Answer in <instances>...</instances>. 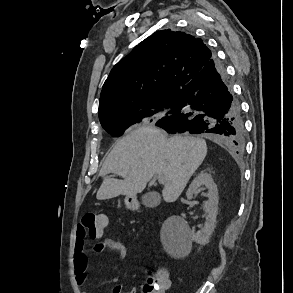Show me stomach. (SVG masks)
<instances>
[{
	"mask_svg": "<svg viewBox=\"0 0 293 293\" xmlns=\"http://www.w3.org/2000/svg\"><path fill=\"white\" fill-rule=\"evenodd\" d=\"M125 204H126V206L129 207V208L133 207V206H134V199L131 198V197H127V198L125 199Z\"/></svg>",
	"mask_w": 293,
	"mask_h": 293,
	"instance_id": "stomach-1",
	"label": "stomach"
}]
</instances>
